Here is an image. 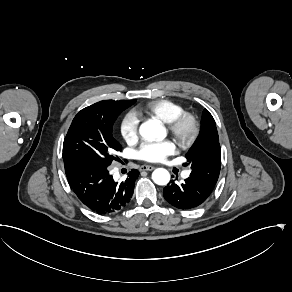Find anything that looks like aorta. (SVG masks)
Listing matches in <instances>:
<instances>
[{
    "instance_id": "1",
    "label": "aorta",
    "mask_w": 292,
    "mask_h": 292,
    "mask_svg": "<svg viewBox=\"0 0 292 292\" xmlns=\"http://www.w3.org/2000/svg\"><path fill=\"white\" fill-rule=\"evenodd\" d=\"M139 134L146 140L154 138L163 140L166 137V130L160 121L150 120L140 125ZM152 179L158 185H167L170 181V173L166 169L158 168L153 171Z\"/></svg>"
}]
</instances>
